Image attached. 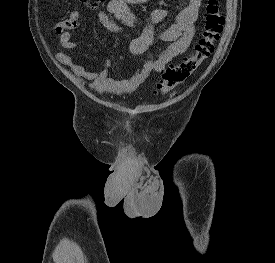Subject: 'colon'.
Returning a JSON list of instances; mask_svg holds the SVG:
<instances>
[{"instance_id":"colon-1","label":"colon","mask_w":275,"mask_h":263,"mask_svg":"<svg viewBox=\"0 0 275 263\" xmlns=\"http://www.w3.org/2000/svg\"><path fill=\"white\" fill-rule=\"evenodd\" d=\"M80 1L91 3L97 7L101 0ZM224 22L219 0H208L202 35L196 43L193 53L180 63L171 65L163 71L161 80L155 86L156 93L167 94L196 74L201 65L213 54L215 43L223 31Z\"/></svg>"}]
</instances>
